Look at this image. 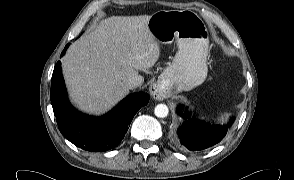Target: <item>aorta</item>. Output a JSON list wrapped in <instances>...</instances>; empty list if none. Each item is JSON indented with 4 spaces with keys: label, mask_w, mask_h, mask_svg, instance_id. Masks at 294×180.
Wrapping results in <instances>:
<instances>
[{
    "label": "aorta",
    "mask_w": 294,
    "mask_h": 180,
    "mask_svg": "<svg viewBox=\"0 0 294 180\" xmlns=\"http://www.w3.org/2000/svg\"><path fill=\"white\" fill-rule=\"evenodd\" d=\"M169 109L165 104H158L154 109L155 116L159 118H164L168 115Z\"/></svg>",
    "instance_id": "aorta-1"
}]
</instances>
